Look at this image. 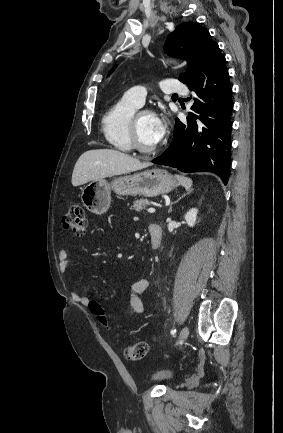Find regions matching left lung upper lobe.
Listing matches in <instances>:
<instances>
[{
	"mask_svg": "<svg viewBox=\"0 0 283 433\" xmlns=\"http://www.w3.org/2000/svg\"><path fill=\"white\" fill-rule=\"evenodd\" d=\"M215 43L209 32L194 22L178 25L167 37L164 45L165 52L188 62V70L179 76L181 82L184 83L190 77L196 62Z\"/></svg>",
	"mask_w": 283,
	"mask_h": 433,
	"instance_id": "5c2ea615",
	"label": "left lung upper lobe"
}]
</instances>
